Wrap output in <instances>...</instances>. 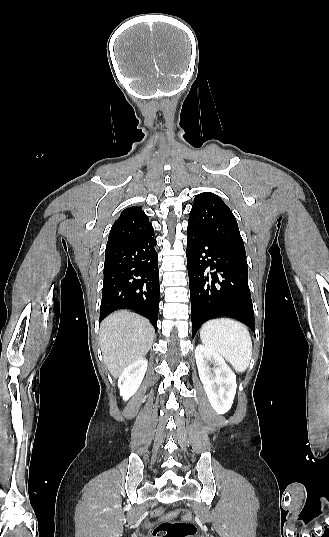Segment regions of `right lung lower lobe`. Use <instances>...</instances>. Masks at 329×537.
<instances>
[{
  "instance_id": "right-lung-lower-lobe-1",
  "label": "right lung lower lobe",
  "mask_w": 329,
  "mask_h": 537,
  "mask_svg": "<svg viewBox=\"0 0 329 537\" xmlns=\"http://www.w3.org/2000/svg\"><path fill=\"white\" fill-rule=\"evenodd\" d=\"M154 229L105 251L100 321L111 312L130 308L157 327L159 272Z\"/></svg>"
}]
</instances>
